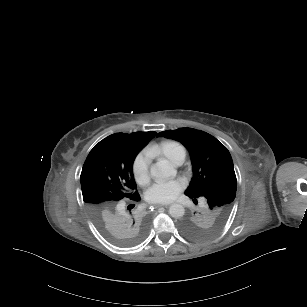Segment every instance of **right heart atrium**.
Listing matches in <instances>:
<instances>
[{
  "label": "right heart atrium",
  "instance_id": "1",
  "mask_svg": "<svg viewBox=\"0 0 307 307\" xmlns=\"http://www.w3.org/2000/svg\"><path fill=\"white\" fill-rule=\"evenodd\" d=\"M133 173L136 179H145L149 174L147 159L143 153L138 154L133 162Z\"/></svg>",
  "mask_w": 307,
  "mask_h": 307
}]
</instances>
